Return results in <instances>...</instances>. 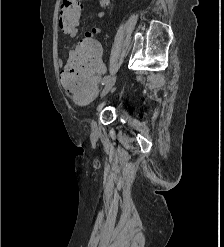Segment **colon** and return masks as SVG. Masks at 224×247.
Listing matches in <instances>:
<instances>
[{"label": "colon", "mask_w": 224, "mask_h": 247, "mask_svg": "<svg viewBox=\"0 0 224 247\" xmlns=\"http://www.w3.org/2000/svg\"><path fill=\"white\" fill-rule=\"evenodd\" d=\"M106 4L107 0H103ZM81 4L79 0H62L58 23L62 32L68 34L78 26ZM105 72L101 60V48L97 41H82L73 57L63 66L61 80L80 104L90 102Z\"/></svg>", "instance_id": "colon-1"}]
</instances>
